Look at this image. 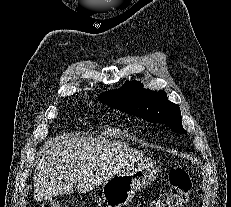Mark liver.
<instances>
[{
  "label": "liver",
  "instance_id": "liver-1",
  "mask_svg": "<svg viewBox=\"0 0 231 207\" xmlns=\"http://www.w3.org/2000/svg\"><path fill=\"white\" fill-rule=\"evenodd\" d=\"M34 172L37 202L71 194L74 188L86 193L119 172L142 160L143 154L121 143L67 134L48 141Z\"/></svg>",
  "mask_w": 231,
  "mask_h": 207
}]
</instances>
